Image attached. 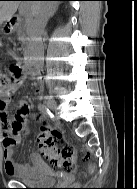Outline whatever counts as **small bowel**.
Returning a JSON list of instances; mask_svg holds the SVG:
<instances>
[{"mask_svg":"<svg viewBox=\"0 0 137 189\" xmlns=\"http://www.w3.org/2000/svg\"><path fill=\"white\" fill-rule=\"evenodd\" d=\"M27 75H30L27 69L22 70V76L20 81ZM19 81V82H20ZM8 100L0 97V139L4 147V168L5 172L10 176L15 175H27L31 171V167L26 164H18L15 162L14 145L21 140V133H13L11 130V123L14 120L21 119L23 125L26 124V114H23V109L28 106L24 101L18 103V109L15 116L11 119L7 114ZM31 159L34 162H38L39 156L36 153L31 154Z\"/></svg>","mask_w":137,"mask_h":189,"instance_id":"c3829d8e","label":"small bowel"}]
</instances>
